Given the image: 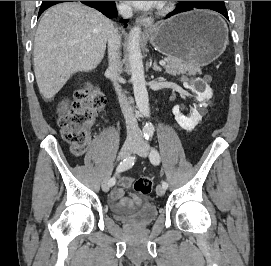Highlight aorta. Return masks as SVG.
<instances>
[{
    "instance_id": "1",
    "label": "aorta",
    "mask_w": 271,
    "mask_h": 266,
    "mask_svg": "<svg viewBox=\"0 0 271 266\" xmlns=\"http://www.w3.org/2000/svg\"><path fill=\"white\" fill-rule=\"evenodd\" d=\"M140 36L141 28L139 26H134L129 32V66L137 108L144 117H149V99L140 50ZM143 132L145 136L150 137L154 133V127L151 124H147L144 127Z\"/></svg>"
}]
</instances>
